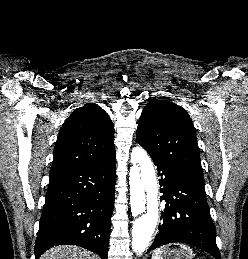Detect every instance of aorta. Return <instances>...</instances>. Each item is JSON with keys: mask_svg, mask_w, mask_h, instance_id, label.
<instances>
[{"mask_svg": "<svg viewBox=\"0 0 248 259\" xmlns=\"http://www.w3.org/2000/svg\"><path fill=\"white\" fill-rule=\"evenodd\" d=\"M129 172L132 249L137 256L148 248L159 218L158 185L153 163L145 150L136 146L131 153Z\"/></svg>", "mask_w": 248, "mask_h": 259, "instance_id": "obj_1", "label": "aorta"}]
</instances>
